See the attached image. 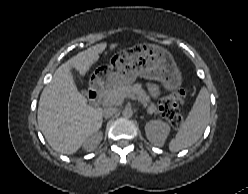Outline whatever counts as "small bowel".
Returning a JSON list of instances; mask_svg holds the SVG:
<instances>
[{"label":"small bowel","mask_w":248,"mask_h":194,"mask_svg":"<svg viewBox=\"0 0 248 194\" xmlns=\"http://www.w3.org/2000/svg\"><path fill=\"white\" fill-rule=\"evenodd\" d=\"M148 90L153 97H156L159 94V87L157 85L150 84Z\"/></svg>","instance_id":"c3829d8e"}]
</instances>
